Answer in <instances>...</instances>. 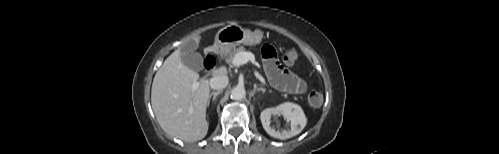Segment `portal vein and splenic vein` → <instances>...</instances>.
Wrapping results in <instances>:
<instances>
[{
	"label": "portal vein and splenic vein",
	"mask_w": 499,
	"mask_h": 154,
	"mask_svg": "<svg viewBox=\"0 0 499 154\" xmlns=\"http://www.w3.org/2000/svg\"><path fill=\"white\" fill-rule=\"evenodd\" d=\"M248 61H252L254 62V55L250 52H240L238 54H236L232 60V64L234 66H240V65H243V64H246ZM256 76L263 82L265 83V80L264 78L259 74L257 73ZM198 87V83L195 82L192 84V90H195L197 89Z\"/></svg>",
	"instance_id": "1"
}]
</instances>
